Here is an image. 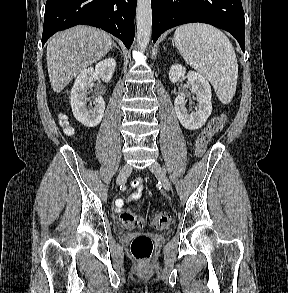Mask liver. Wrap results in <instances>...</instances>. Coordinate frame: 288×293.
<instances>
[{
	"label": "liver",
	"instance_id": "obj_1",
	"mask_svg": "<svg viewBox=\"0 0 288 293\" xmlns=\"http://www.w3.org/2000/svg\"><path fill=\"white\" fill-rule=\"evenodd\" d=\"M113 47L106 32L85 25L60 31L47 42L46 59L52 89L59 93L82 70L107 55Z\"/></svg>",
	"mask_w": 288,
	"mask_h": 293
}]
</instances>
